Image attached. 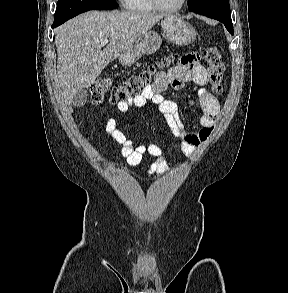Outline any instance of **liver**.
Here are the masks:
<instances>
[{
    "instance_id": "6515ba94",
    "label": "liver",
    "mask_w": 288,
    "mask_h": 293,
    "mask_svg": "<svg viewBox=\"0 0 288 293\" xmlns=\"http://www.w3.org/2000/svg\"><path fill=\"white\" fill-rule=\"evenodd\" d=\"M166 16L155 12L88 11L59 26L55 37L57 76L66 105L70 106L77 91L91 86L110 62ZM103 39L109 44L102 49Z\"/></svg>"
}]
</instances>
